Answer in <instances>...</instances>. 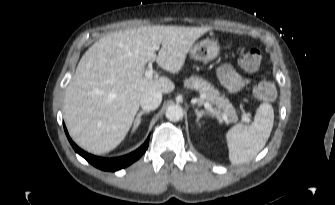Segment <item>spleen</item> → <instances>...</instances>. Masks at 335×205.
Wrapping results in <instances>:
<instances>
[{"instance_id": "obj_1", "label": "spleen", "mask_w": 335, "mask_h": 205, "mask_svg": "<svg viewBox=\"0 0 335 205\" xmlns=\"http://www.w3.org/2000/svg\"><path fill=\"white\" fill-rule=\"evenodd\" d=\"M274 123V110L268 103H262L250 126L237 124L226 133L229 160L239 165L252 160L265 146Z\"/></svg>"}]
</instances>
